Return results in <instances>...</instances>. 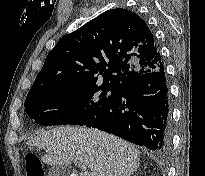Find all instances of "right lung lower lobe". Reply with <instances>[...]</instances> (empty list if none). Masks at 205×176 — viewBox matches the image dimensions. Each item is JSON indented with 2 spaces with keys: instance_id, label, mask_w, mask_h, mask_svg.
I'll return each mask as SVG.
<instances>
[{
  "instance_id": "obj_1",
  "label": "right lung lower lobe",
  "mask_w": 205,
  "mask_h": 176,
  "mask_svg": "<svg viewBox=\"0 0 205 176\" xmlns=\"http://www.w3.org/2000/svg\"><path fill=\"white\" fill-rule=\"evenodd\" d=\"M169 92L164 65L122 84L85 126L119 136L158 153L171 146Z\"/></svg>"
}]
</instances>
